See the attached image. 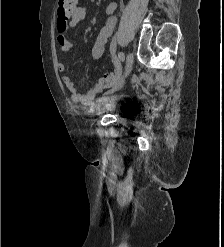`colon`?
Here are the masks:
<instances>
[{"label":"colon","instance_id":"colon-1","mask_svg":"<svg viewBox=\"0 0 224 247\" xmlns=\"http://www.w3.org/2000/svg\"><path fill=\"white\" fill-rule=\"evenodd\" d=\"M77 8V0H59L57 10L58 30H66L67 23ZM100 85L107 88L115 83V77L104 75L100 78Z\"/></svg>","mask_w":224,"mask_h":247}]
</instances>
